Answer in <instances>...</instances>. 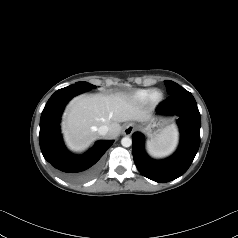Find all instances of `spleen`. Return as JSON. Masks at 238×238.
Wrapping results in <instances>:
<instances>
[{
  "mask_svg": "<svg viewBox=\"0 0 238 238\" xmlns=\"http://www.w3.org/2000/svg\"><path fill=\"white\" fill-rule=\"evenodd\" d=\"M178 139V130L176 126L171 125L158 138L148 143V151L154 157L167 156L176 148Z\"/></svg>",
  "mask_w": 238,
  "mask_h": 238,
  "instance_id": "1",
  "label": "spleen"
}]
</instances>
